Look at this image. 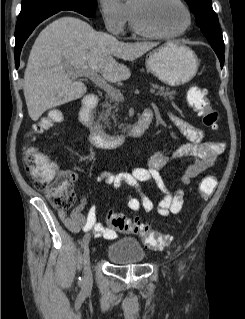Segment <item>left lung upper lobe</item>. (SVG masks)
I'll return each instance as SVG.
<instances>
[{"mask_svg": "<svg viewBox=\"0 0 245 319\" xmlns=\"http://www.w3.org/2000/svg\"><path fill=\"white\" fill-rule=\"evenodd\" d=\"M192 9L197 24L212 47L224 51L225 45L220 31L218 17L214 12L211 0H185Z\"/></svg>", "mask_w": 245, "mask_h": 319, "instance_id": "left-lung-upper-lobe-1", "label": "left lung upper lobe"}]
</instances>
